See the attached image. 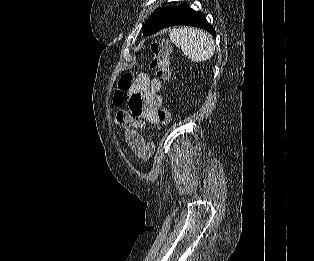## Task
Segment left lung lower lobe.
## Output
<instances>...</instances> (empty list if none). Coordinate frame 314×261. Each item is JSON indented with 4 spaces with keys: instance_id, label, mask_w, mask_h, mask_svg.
Instances as JSON below:
<instances>
[{
    "instance_id": "left-lung-lower-lobe-1",
    "label": "left lung lower lobe",
    "mask_w": 314,
    "mask_h": 261,
    "mask_svg": "<svg viewBox=\"0 0 314 261\" xmlns=\"http://www.w3.org/2000/svg\"><path fill=\"white\" fill-rule=\"evenodd\" d=\"M175 25H189L195 26L210 32L216 37L215 30L205 19L202 12H196L189 8L186 3H183L176 14L161 28L171 27ZM160 29V30H161Z\"/></svg>"
}]
</instances>
